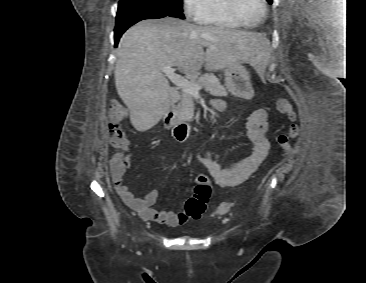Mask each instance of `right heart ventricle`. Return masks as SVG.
<instances>
[{"label": "right heart ventricle", "mask_w": 366, "mask_h": 283, "mask_svg": "<svg viewBox=\"0 0 366 283\" xmlns=\"http://www.w3.org/2000/svg\"><path fill=\"white\" fill-rule=\"evenodd\" d=\"M198 21L222 29H236L240 26L228 15L223 0H208L206 11Z\"/></svg>", "instance_id": "1"}]
</instances>
